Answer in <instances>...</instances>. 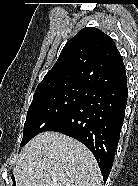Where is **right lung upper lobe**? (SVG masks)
<instances>
[{"mask_svg": "<svg viewBox=\"0 0 138 186\" xmlns=\"http://www.w3.org/2000/svg\"><path fill=\"white\" fill-rule=\"evenodd\" d=\"M126 82L124 63L114 41L97 28L85 27L66 43L35 93L70 85L93 89Z\"/></svg>", "mask_w": 138, "mask_h": 186, "instance_id": "right-lung-upper-lobe-1", "label": "right lung upper lobe"}]
</instances>
